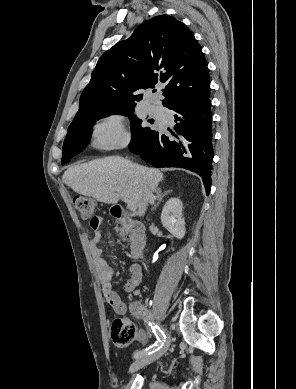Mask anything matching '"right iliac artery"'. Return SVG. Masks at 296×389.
Wrapping results in <instances>:
<instances>
[{
  "label": "right iliac artery",
  "instance_id": "82829eb1",
  "mask_svg": "<svg viewBox=\"0 0 296 389\" xmlns=\"http://www.w3.org/2000/svg\"><path fill=\"white\" fill-rule=\"evenodd\" d=\"M149 326L151 327L153 333L155 334V336L157 337L158 340L152 346L148 347L147 349H144L140 352H137L135 354L136 358H139V357L145 356V355H150L151 353H154L155 351L160 349L165 342L166 336H165L164 332L157 325H154V323L149 322Z\"/></svg>",
  "mask_w": 296,
  "mask_h": 389
}]
</instances>
